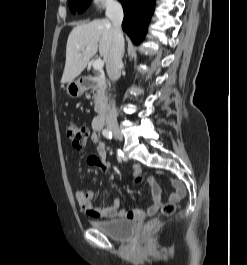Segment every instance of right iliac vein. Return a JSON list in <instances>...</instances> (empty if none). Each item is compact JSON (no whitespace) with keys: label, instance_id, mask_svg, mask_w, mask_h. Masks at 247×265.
I'll return each mask as SVG.
<instances>
[{"label":"right iliac vein","instance_id":"63e3f726","mask_svg":"<svg viewBox=\"0 0 247 265\" xmlns=\"http://www.w3.org/2000/svg\"><path fill=\"white\" fill-rule=\"evenodd\" d=\"M110 131L119 139V140H122V134L120 132V129L116 126L114 127H111L110 128Z\"/></svg>","mask_w":247,"mask_h":265}]
</instances>
